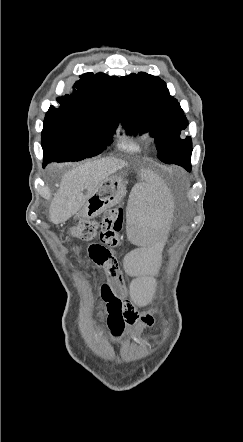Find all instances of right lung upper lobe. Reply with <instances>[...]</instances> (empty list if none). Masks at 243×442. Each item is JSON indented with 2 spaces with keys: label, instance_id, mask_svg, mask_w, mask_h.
I'll return each instance as SVG.
<instances>
[{
  "label": "right lung upper lobe",
  "instance_id": "1",
  "mask_svg": "<svg viewBox=\"0 0 243 442\" xmlns=\"http://www.w3.org/2000/svg\"><path fill=\"white\" fill-rule=\"evenodd\" d=\"M74 92L57 98L60 107L78 115L100 117L119 123L121 85L117 77L85 73L74 84Z\"/></svg>",
  "mask_w": 243,
  "mask_h": 442
}]
</instances>
